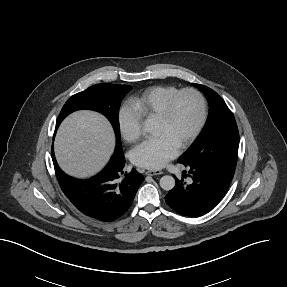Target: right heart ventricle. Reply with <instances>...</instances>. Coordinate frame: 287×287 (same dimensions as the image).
<instances>
[{
  "label": "right heart ventricle",
  "instance_id": "right-heart-ventricle-1",
  "mask_svg": "<svg viewBox=\"0 0 287 287\" xmlns=\"http://www.w3.org/2000/svg\"><path fill=\"white\" fill-rule=\"evenodd\" d=\"M177 91L178 88L171 85L149 87L130 100V108L139 116L142 122L156 119L168 98Z\"/></svg>",
  "mask_w": 287,
  "mask_h": 287
}]
</instances>
